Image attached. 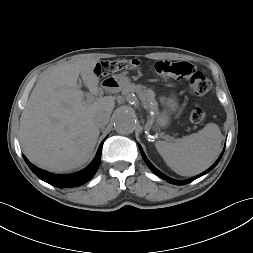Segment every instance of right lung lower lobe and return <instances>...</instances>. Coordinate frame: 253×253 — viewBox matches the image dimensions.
<instances>
[{"label":"right lung lower lobe","mask_w":253,"mask_h":253,"mask_svg":"<svg viewBox=\"0 0 253 253\" xmlns=\"http://www.w3.org/2000/svg\"><path fill=\"white\" fill-rule=\"evenodd\" d=\"M104 141L105 140L102 141L93 162L86 169L69 175H55L47 171H43L32 165L24 155L23 157L32 172L43 181L59 188L77 187L86 183L96 174L101 162V152Z\"/></svg>","instance_id":"right-lung-lower-lobe-1"}]
</instances>
